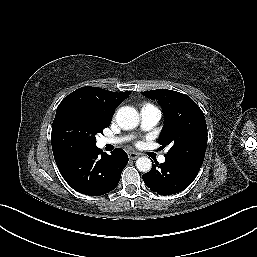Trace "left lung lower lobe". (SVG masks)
I'll use <instances>...</instances> for the list:
<instances>
[{
	"instance_id": "0a47b994",
	"label": "left lung lower lobe",
	"mask_w": 257,
	"mask_h": 257,
	"mask_svg": "<svg viewBox=\"0 0 257 257\" xmlns=\"http://www.w3.org/2000/svg\"><path fill=\"white\" fill-rule=\"evenodd\" d=\"M201 166L185 158L165 156V162L153 164L152 169L143 174V180L151 191L171 195L186 189L196 178Z\"/></svg>"
}]
</instances>
